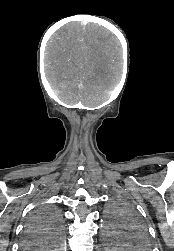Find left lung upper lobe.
Here are the masks:
<instances>
[{
	"mask_svg": "<svg viewBox=\"0 0 174 251\" xmlns=\"http://www.w3.org/2000/svg\"><path fill=\"white\" fill-rule=\"evenodd\" d=\"M109 228L126 238L133 248L148 251L150 240L144 224L140 221L133 208L123 200H114L108 210Z\"/></svg>",
	"mask_w": 174,
	"mask_h": 251,
	"instance_id": "1",
	"label": "left lung upper lobe"
}]
</instances>
